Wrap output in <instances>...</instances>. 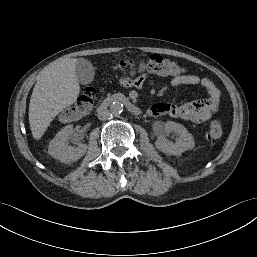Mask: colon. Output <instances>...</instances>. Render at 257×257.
Masks as SVG:
<instances>
[{"mask_svg":"<svg viewBox=\"0 0 257 257\" xmlns=\"http://www.w3.org/2000/svg\"><path fill=\"white\" fill-rule=\"evenodd\" d=\"M134 67L143 68L148 75L159 76H174L180 74L182 71V68L178 63L163 58L160 55H150L149 57L141 60L121 59L113 65V69L117 73L123 68L132 69ZM93 96V89L90 87L85 88L75 104L63 111V117L67 121H72L86 114L91 109ZM223 131L222 122L218 119H214L208 123L206 136L211 141L218 140L223 135Z\"/></svg>","mask_w":257,"mask_h":257,"instance_id":"colon-1","label":"colon"}]
</instances>
